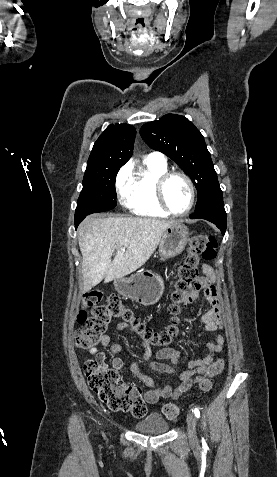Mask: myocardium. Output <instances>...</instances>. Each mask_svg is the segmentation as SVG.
Instances as JSON below:
<instances>
[{
  "label": "myocardium",
  "mask_w": 277,
  "mask_h": 477,
  "mask_svg": "<svg viewBox=\"0 0 277 477\" xmlns=\"http://www.w3.org/2000/svg\"><path fill=\"white\" fill-rule=\"evenodd\" d=\"M174 176L182 177L187 182V184L189 186V190H190L189 205L182 212L173 211L171 209V207L169 206V204L167 202V199H166V193H165L166 185H167L168 181ZM155 193H156L157 201H158L159 205L161 206V208L165 212H167L169 215L175 216V217H182V216H185L188 213H190V211L193 209V207L195 205V201H196V189H195L194 182L192 181L191 177L188 174H186L183 171H179V170L166 171L163 174H161L156 180Z\"/></svg>",
  "instance_id": "f54148a6"
}]
</instances>
